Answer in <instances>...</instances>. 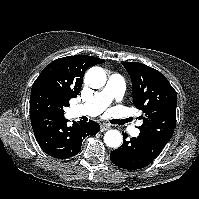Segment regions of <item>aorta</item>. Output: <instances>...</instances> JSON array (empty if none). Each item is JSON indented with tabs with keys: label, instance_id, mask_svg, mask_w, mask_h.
Returning <instances> with one entry per match:
<instances>
[{
	"label": "aorta",
	"instance_id": "762f6f07",
	"mask_svg": "<svg viewBox=\"0 0 199 199\" xmlns=\"http://www.w3.org/2000/svg\"><path fill=\"white\" fill-rule=\"evenodd\" d=\"M106 73L101 67H92L85 74V83L93 89H99L106 84ZM122 135L117 130H109L104 135L108 147L118 148L122 143Z\"/></svg>",
	"mask_w": 199,
	"mask_h": 199
}]
</instances>
